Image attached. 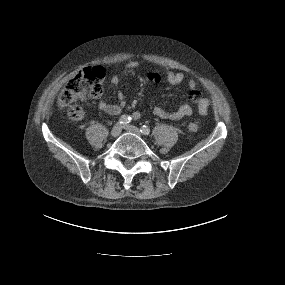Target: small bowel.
<instances>
[{
	"instance_id": "small-bowel-1",
	"label": "small bowel",
	"mask_w": 285,
	"mask_h": 285,
	"mask_svg": "<svg viewBox=\"0 0 285 285\" xmlns=\"http://www.w3.org/2000/svg\"><path fill=\"white\" fill-rule=\"evenodd\" d=\"M140 63L138 61H130L125 66V72L132 71L136 68H138ZM164 78L171 84H181L186 80L185 75L182 72H174V71H166ZM149 81L158 83L163 80V76L159 73H150L148 75ZM111 83L115 87H119L120 78L117 75H113L111 77ZM187 88L189 91L188 99L179 106L176 110L169 111L162 109L160 107H156L153 110V114L156 117H159L161 119H167V120H181L185 117H188L192 114V106L191 104H195L198 107V111L201 115H206L209 108V101L207 98L203 97L201 95V92L199 91L197 87V83L194 79H189L187 81ZM118 98L120 103L119 104H111L104 100L99 101V109L109 115H118L122 108L125 106V97L122 91L118 90ZM133 119H139L140 113L135 112L132 115Z\"/></svg>"
}]
</instances>
